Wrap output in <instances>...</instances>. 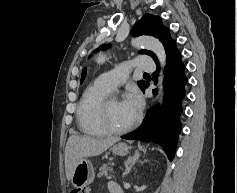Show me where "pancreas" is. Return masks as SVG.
Returning a JSON list of instances; mask_svg holds the SVG:
<instances>
[{"mask_svg": "<svg viewBox=\"0 0 237 193\" xmlns=\"http://www.w3.org/2000/svg\"><path fill=\"white\" fill-rule=\"evenodd\" d=\"M108 171L111 172L112 168L111 166H109L108 164H103L100 168H99V173H98V177H102V176H107L108 175Z\"/></svg>", "mask_w": 237, "mask_h": 193, "instance_id": "pancreas-1", "label": "pancreas"}]
</instances>
